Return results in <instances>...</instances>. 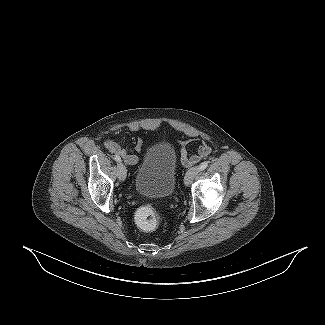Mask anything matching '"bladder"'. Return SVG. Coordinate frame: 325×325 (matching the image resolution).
<instances>
[{
	"mask_svg": "<svg viewBox=\"0 0 325 325\" xmlns=\"http://www.w3.org/2000/svg\"><path fill=\"white\" fill-rule=\"evenodd\" d=\"M177 153L167 141L152 144L135 175V188L143 196L166 198L173 194L177 180Z\"/></svg>",
	"mask_w": 325,
	"mask_h": 325,
	"instance_id": "31cf9c89",
	"label": "bladder"
}]
</instances>
